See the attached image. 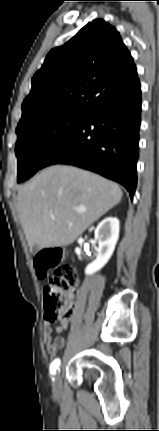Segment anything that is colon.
Listing matches in <instances>:
<instances>
[{"instance_id":"5ec220e1","label":"colon","mask_w":159,"mask_h":431,"mask_svg":"<svg viewBox=\"0 0 159 431\" xmlns=\"http://www.w3.org/2000/svg\"><path fill=\"white\" fill-rule=\"evenodd\" d=\"M64 260L65 254L59 249L43 250L34 259L39 277L44 278L53 270L44 290V306L48 321H53L58 317L67 319L71 316L67 295L77 282V273Z\"/></svg>"}]
</instances>
